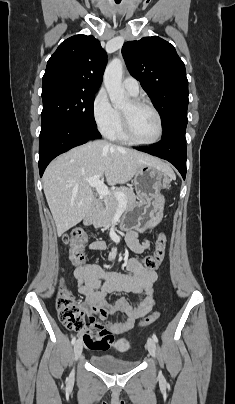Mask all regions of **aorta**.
<instances>
[{
  "label": "aorta",
  "instance_id": "1",
  "mask_svg": "<svg viewBox=\"0 0 235 404\" xmlns=\"http://www.w3.org/2000/svg\"><path fill=\"white\" fill-rule=\"evenodd\" d=\"M123 63L114 58L106 67L104 85L115 108H122L128 103V97L122 87Z\"/></svg>",
  "mask_w": 235,
  "mask_h": 404
}]
</instances>
